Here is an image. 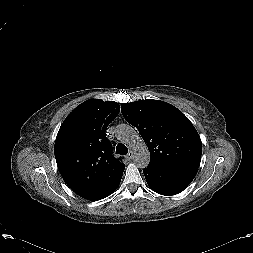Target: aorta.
I'll return each instance as SVG.
<instances>
[{
  "label": "aorta",
  "mask_w": 253,
  "mask_h": 253,
  "mask_svg": "<svg viewBox=\"0 0 253 253\" xmlns=\"http://www.w3.org/2000/svg\"><path fill=\"white\" fill-rule=\"evenodd\" d=\"M115 136L134 150L133 161L138 168H145L150 162V153L141 136L129 124L117 126Z\"/></svg>",
  "instance_id": "aorta-1"
}]
</instances>
